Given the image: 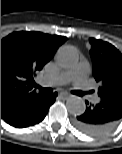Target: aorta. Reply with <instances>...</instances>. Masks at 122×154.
Segmentation results:
<instances>
[{
	"instance_id": "obj_1",
	"label": "aorta",
	"mask_w": 122,
	"mask_h": 154,
	"mask_svg": "<svg viewBox=\"0 0 122 154\" xmlns=\"http://www.w3.org/2000/svg\"><path fill=\"white\" fill-rule=\"evenodd\" d=\"M79 60L78 51L73 46H62L56 53V62L59 66L73 68ZM67 110L72 115H80L85 112V101L77 96H71L66 102Z\"/></svg>"
}]
</instances>
